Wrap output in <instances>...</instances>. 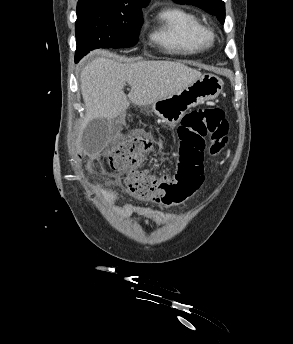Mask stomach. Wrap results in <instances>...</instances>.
<instances>
[{
    "label": "stomach",
    "instance_id": "0dacf381",
    "mask_svg": "<svg viewBox=\"0 0 293 344\" xmlns=\"http://www.w3.org/2000/svg\"><path fill=\"white\" fill-rule=\"evenodd\" d=\"M223 85L217 75L205 73L181 92L154 102L152 110L163 122L174 126L188 109L218 97Z\"/></svg>",
    "mask_w": 293,
    "mask_h": 344
}]
</instances>
